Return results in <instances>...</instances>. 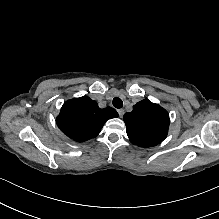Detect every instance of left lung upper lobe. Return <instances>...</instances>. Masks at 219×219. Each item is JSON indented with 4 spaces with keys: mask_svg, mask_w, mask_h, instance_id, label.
<instances>
[{
    "mask_svg": "<svg viewBox=\"0 0 219 219\" xmlns=\"http://www.w3.org/2000/svg\"><path fill=\"white\" fill-rule=\"evenodd\" d=\"M124 121L130 141L139 147H152L167 136L169 114L158 104L144 99L133 106V111L125 113Z\"/></svg>",
    "mask_w": 219,
    "mask_h": 219,
    "instance_id": "obj_1",
    "label": "left lung upper lobe"
}]
</instances>
